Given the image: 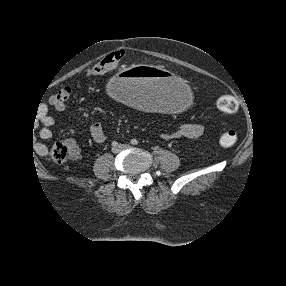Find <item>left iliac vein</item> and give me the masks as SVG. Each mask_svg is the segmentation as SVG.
I'll return each mask as SVG.
<instances>
[{
    "instance_id": "left-iliac-vein-1",
    "label": "left iliac vein",
    "mask_w": 286,
    "mask_h": 286,
    "mask_svg": "<svg viewBox=\"0 0 286 286\" xmlns=\"http://www.w3.org/2000/svg\"><path fill=\"white\" fill-rule=\"evenodd\" d=\"M130 147V145H127V144H121L119 145V149L120 150H125V149H128Z\"/></svg>"
}]
</instances>
